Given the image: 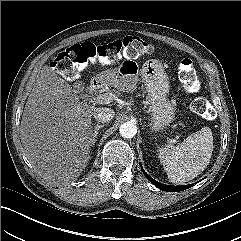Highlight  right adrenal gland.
Returning <instances> with one entry per match:
<instances>
[{
  "instance_id": "right-adrenal-gland-1",
  "label": "right adrenal gland",
  "mask_w": 241,
  "mask_h": 241,
  "mask_svg": "<svg viewBox=\"0 0 241 241\" xmlns=\"http://www.w3.org/2000/svg\"><path fill=\"white\" fill-rule=\"evenodd\" d=\"M104 127V124L97 123L93 128V139H92V145H95V142L97 141V136L99 133V130Z\"/></svg>"
}]
</instances>
